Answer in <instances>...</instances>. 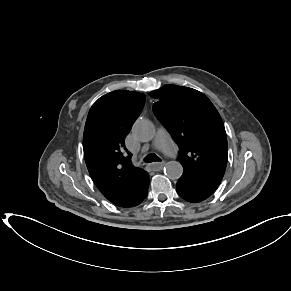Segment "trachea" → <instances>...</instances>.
I'll list each match as a JSON object with an SVG mask.
<instances>
[{
    "label": "trachea",
    "mask_w": 291,
    "mask_h": 291,
    "mask_svg": "<svg viewBox=\"0 0 291 291\" xmlns=\"http://www.w3.org/2000/svg\"><path fill=\"white\" fill-rule=\"evenodd\" d=\"M144 161L147 163H151V162L161 161V159L156 154L151 153L144 158Z\"/></svg>",
    "instance_id": "trachea-1"
}]
</instances>
